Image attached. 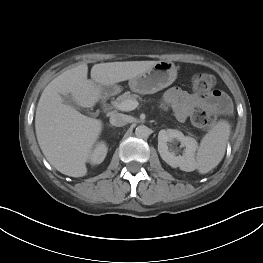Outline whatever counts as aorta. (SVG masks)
Segmentation results:
<instances>
[{"label":"aorta","instance_id":"obj_1","mask_svg":"<svg viewBox=\"0 0 263 263\" xmlns=\"http://www.w3.org/2000/svg\"><path fill=\"white\" fill-rule=\"evenodd\" d=\"M150 134V129L145 126V125H139L136 129H135V135L138 138H147Z\"/></svg>","mask_w":263,"mask_h":263}]
</instances>
